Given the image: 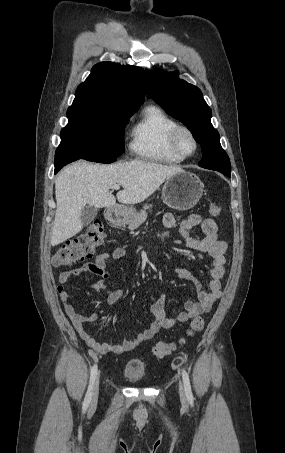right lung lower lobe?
<instances>
[{"label":"right lung lower lobe","mask_w":285,"mask_h":453,"mask_svg":"<svg viewBox=\"0 0 285 453\" xmlns=\"http://www.w3.org/2000/svg\"><path fill=\"white\" fill-rule=\"evenodd\" d=\"M75 161V158L68 152L60 153L56 151L55 154V173H57L64 165Z\"/></svg>","instance_id":"1"}]
</instances>
